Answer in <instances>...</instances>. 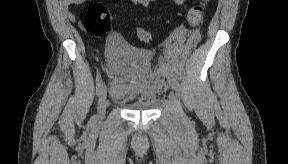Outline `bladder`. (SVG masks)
<instances>
[{"mask_svg":"<svg viewBox=\"0 0 288 164\" xmlns=\"http://www.w3.org/2000/svg\"><path fill=\"white\" fill-rule=\"evenodd\" d=\"M107 68L112 76L111 97L133 110L156 107L145 83L153 59L150 50L123 42H113L106 48Z\"/></svg>","mask_w":288,"mask_h":164,"instance_id":"bladder-1","label":"bladder"}]
</instances>
